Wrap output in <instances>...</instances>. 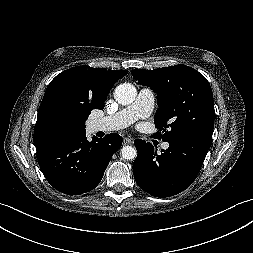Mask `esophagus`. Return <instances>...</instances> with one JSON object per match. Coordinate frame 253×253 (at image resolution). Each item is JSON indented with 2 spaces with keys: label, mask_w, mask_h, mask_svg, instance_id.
Listing matches in <instances>:
<instances>
[{
  "label": "esophagus",
  "mask_w": 253,
  "mask_h": 253,
  "mask_svg": "<svg viewBox=\"0 0 253 253\" xmlns=\"http://www.w3.org/2000/svg\"><path fill=\"white\" fill-rule=\"evenodd\" d=\"M123 144H124V145H132V144H133V139H132V138L125 137V138L123 139Z\"/></svg>",
  "instance_id": "1"
}]
</instances>
